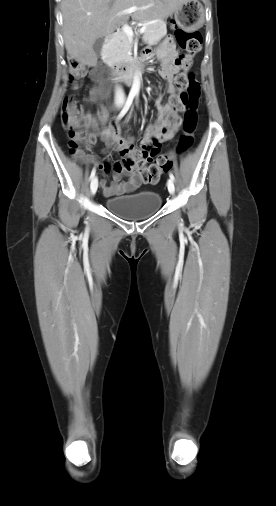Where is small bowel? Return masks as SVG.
Masks as SVG:
<instances>
[{"instance_id": "c3829d8e", "label": "small bowel", "mask_w": 276, "mask_h": 506, "mask_svg": "<svg viewBox=\"0 0 276 506\" xmlns=\"http://www.w3.org/2000/svg\"><path fill=\"white\" fill-rule=\"evenodd\" d=\"M145 60H149L156 54L157 60L160 63L159 74L166 81L165 91L170 94L175 93L174 86V76L178 72L179 69V59L182 57L179 51L175 47V43L172 37L166 38L163 44L156 50V52L147 48L144 51ZM90 77L94 82V85L90 89V100L92 102L98 101L100 98H103L106 95V86L102 80V78L98 75V70H93L90 73ZM157 108H158V117L154 125L149 126L144 134L142 139V145L146 146L151 142L152 139L165 140L171 138L178 130L179 125H171L168 122V115L173 111V107L171 104H162L161 99H157ZM90 122H94V118L88 115ZM108 118V113L106 110H103L98 119L105 123ZM114 136L117 139L116 135L112 132L110 128H106L102 131L103 138L107 139L109 136ZM154 156L148 157V159L153 158ZM100 170L105 171L107 174L111 175L114 181L107 185L106 180L102 179L100 181V187L103 193L106 196H115L124 194L130 191L135 190L140 185L139 176L132 172L128 171L124 168L121 162L112 161L111 159H107L104 164L98 165ZM122 175L127 177L126 180H122Z\"/></svg>"}]
</instances>
